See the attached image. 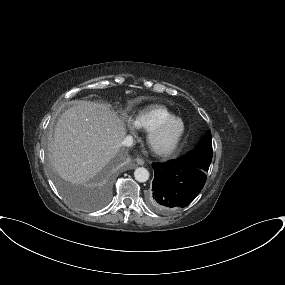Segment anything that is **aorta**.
<instances>
[{"mask_svg": "<svg viewBox=\"0 0 285 285\" xmlns=\"http://www.w3.org/2000/svg\"><path fill=\"white\" fill-rule=\"evenodd\" d=\"M134 177L138 182H146L149 179V171L144 167H139L134 171Z\"/></svg>", "mask_w": 285, "mask_h": 285, "instance_id": "762f6f07", "label": "aorta"}]
</instances>
